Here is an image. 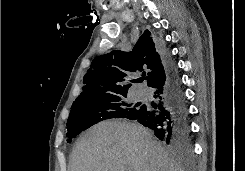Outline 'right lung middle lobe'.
<instances>
[{
    "label": "right lung middle lobe",
    "mask_w": 245,
    "mask_h": 171,
    "mask_svg": "<svg viewBox=\"0 0 245 171\" xmlns=\"http://www.w3.org/2000/svg\"><path fill=\"white\" fill-rule=\"evenodd\" d=\"M127 94L113 95L96 100L74 101L67 121V141L92 125L110 118L132 119L141 110L138 104L126 103Z\"/></svg>",
    "instance_id": "dd1d6c3e"
}]
</instances>
